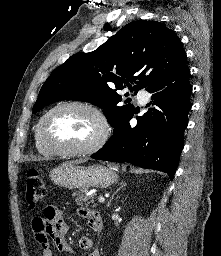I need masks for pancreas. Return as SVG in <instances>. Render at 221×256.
<instances>
[{
  "instance_id": "cf45deb5",
  "label": "pancreas",
  "mask_w": 221,
  "mask_h": 256,
  "mask_svg": "<svg viewBox=\"0 0 221 256\" xmlns=\"http://www.w3.org/2000/svg\"><path fill=\"white\" fill-rule=\"evenodd\" d=\"M85 190V189H83ZM76 191L73 193V196L76 197V203L78 205H82V204H85V205H91L92 207H96L97 204L94 202V195L92 196H85L83 193L85 191Z\"/></svg>"
}]
</instances>
